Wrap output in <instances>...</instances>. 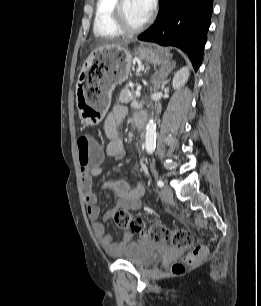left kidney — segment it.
I'll return each instance as SVG.
<instances>
[{
    "label": "left kidney",
    "mask_w": 261,
    "mask_h": 306,
    "mask_svg": "<svg viewBox=\"0 0 261 306\" xmlns=\"http://www.w3.org/2000/svg\"><path fill=\"white\" fill-rule=\"evenodd\" d=\"M190 72L187 66L182 67L177 73L174 75L172 86L176 90H179L181 87L185 85L189 78Z\"/></svg>",
    "instance_id": "5707ae66"
}]
</instances>
